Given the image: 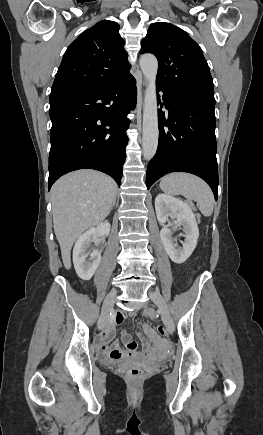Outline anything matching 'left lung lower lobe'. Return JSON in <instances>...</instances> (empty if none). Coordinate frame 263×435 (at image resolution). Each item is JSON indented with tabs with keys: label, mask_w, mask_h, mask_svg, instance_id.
<instances>
[{
	"label": "left lung lower lobe",
	"mask_w": 263,
	"mask_h": 435,
	"mask_svg": "<svg viewBox=\"0 0 263 435\" xmlns=\"http://www.w3.org/2000/svg\"><path fill=\"white\" fill-rule=\"evenodd\" d=\"M157 91L163 92L161 107L164 104L169 114L166 120L165 113L158 111L159 144L147 168V188L168 173L188 172L204 179L217 200L214 104L183 97L160 86Z\"/></svg>",
	"instance_id": "0a47b994"
}]
</instances>
